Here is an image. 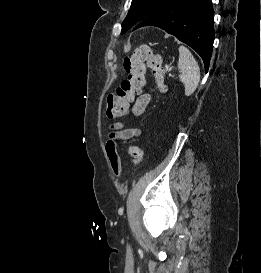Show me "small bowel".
I'll use <instances>...</instances> for the list:
<instances>
[{"instance_id":"small-bowel-1","label":"small bowel","mask_w":261,"mask_h":273,"mask_svg":"<svg viewBox=\"0 0 261 273\" xmlns=\"http://www.w3.org/2000/svg\"><path fill=\"white\" fill-rule=\"evenodd\" d=\"M151 99L150 93L141 94L134 103L133 113L136 116L142 115ZM140 134V129L126 128L123 123H115L111 126V133L109 134L105 150L115 176L119 177L121 175V161L117 151V141H127L139 137Z\"/></svg>"}]
</instances>
